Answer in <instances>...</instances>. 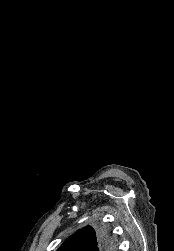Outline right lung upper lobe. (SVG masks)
<instances>
[{"label":"right lung upper lobe","instance_id":"cb5924a9","mask_svg":"<svg viewBox=\"0 0 174 251\" xmlns=\"http://www.w3.org/2000/svg\"><path fill=\"white\" fill-rule=\"evenodd\" d=\"M100 233L86 226L70 236L57 251H93L99 245Z\"/></svg>","mask_w":174,"mask_h":251}]
</instances>
